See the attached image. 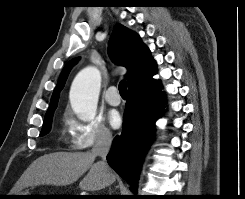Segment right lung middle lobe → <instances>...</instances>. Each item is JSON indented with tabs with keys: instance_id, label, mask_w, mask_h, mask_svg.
<instances>
[{
	"instance_id": "dd1d6c3e",
	"label": "right lung middle lobe",
	"mask_w": 245,
	"mask_h": 199,
	"mask_svg": "<svg viewBox=\"0 0 245 199\" xmlns=\"http://www.w3.org/2000/svg\"><path fill=\"white\" fill-rule=\"evenodd\" d=\"M52 116H53V113L45 116L40 136H43V135L47 134L50 131Z\"/></svg>"
}]
</instances>
